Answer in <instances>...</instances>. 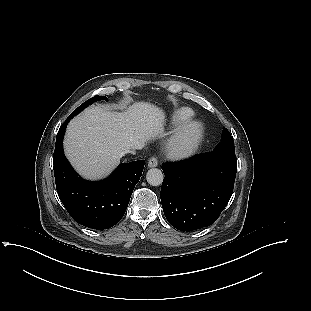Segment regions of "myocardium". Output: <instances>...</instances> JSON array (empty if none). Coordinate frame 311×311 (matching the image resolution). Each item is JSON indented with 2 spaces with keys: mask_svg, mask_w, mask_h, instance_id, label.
<instances>
[{
  "mask_svg": "<svg viewBox=\"0 0 311 311\" xmlns=\"http://www.w3.org/2000/svg\"><path fill=\"white\" fill-rule=\"evenodd\" d=\"M204 137V126L199 120L182 124L167 140L164 151L173 160L191 157L199 148Z\"/></svg>",
  "mask_w": 311,
  "mask_h": 311,
  "instance_id": "1",
  "label": "myocardium"
}]
</instances>
